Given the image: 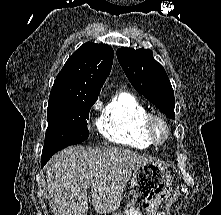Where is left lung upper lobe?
<instances>
[{"label": "left lung upper lobe", "instance_id": "1", "mask_svg": "<svg viewBox=\"0 0 221 215\" xmlns=\"http://www.w3.org/2000/svg\"><path fill=\"white\" fill-rule=\"evenodd\" d=\"M118 61L133 87L166 117L175 119V98L163 66L153 58L150 49L120 48Z\"/></svg>", "mask_w": 221, "mask_h": 215}]
</instances>
